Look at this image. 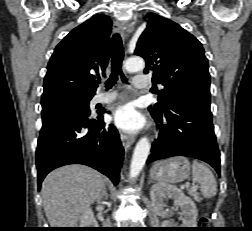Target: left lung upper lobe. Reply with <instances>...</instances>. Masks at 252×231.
<instances>
[{"mask_svg":"<svg viewBox=\"0 0 252 231\" xmlns=\"http://www.w3.org/2000/svg\"><path fill=\"white\" fill-rule=\"evenodd\" d=\"M147 18L134 53L146 60L144 73L153 72L154 83L164 86L151 111L163 110L174 96L182 94L210 98L209 66L202 44L167 18L154 13L147 14Z\"/></svg>","mask_w":252,"mask_h":231,"instance_id":"1","label":"left lung upper lobe"}]
</instances>
